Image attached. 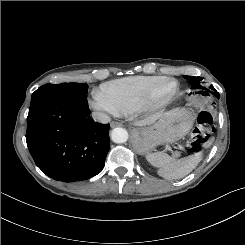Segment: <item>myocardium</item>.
<instances>
[{
    "mask_svg": "<svg viewBox=\"0 0 245 245\" xmlns=\"http://www.w3.org/2000/svg\"><path fill=\"white\" fill-rule=\"evenodd\" d=\"M179 83L173 78H165L144 98L138 110L152 112L166 107L177 95Z\"/></svg>",
    "mask_w": 245,
    "mask_h": 245,
    "instance_id": "f54148a6",
    "label": "myocardium"
}]
</instances>
